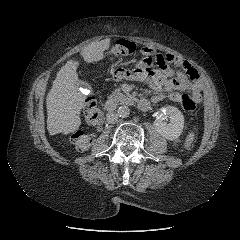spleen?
Instances as JSON below:
<instances>
[{"label":"spleen","mask_w":240,"mask_h":240,"mask_svg":"<svg viewBox=\"0 0 240 240\" xmlns=\"http://www.w3.org/2000/svg\"><path fill=\"white\" fill-rule=\"evenodd\" d=\"M193 139H194V133L191 132V133H189V135L187 136V139H186V142H185V147H186V148H188V147L191 145Z\"/></svg>","instance_id":"3e777b00"}]
</instances>
